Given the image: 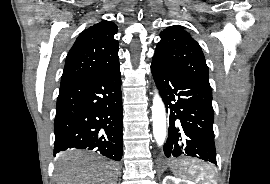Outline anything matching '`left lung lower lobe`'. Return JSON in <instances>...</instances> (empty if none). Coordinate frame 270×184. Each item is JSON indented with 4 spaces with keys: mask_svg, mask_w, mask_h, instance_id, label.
<instances>
[{
    "mask_svg": "<svg viewBox=\"0 0 270 184\" xmlns=\"http://www.w3.org/2000/svg\"><path fill=\"white\" fill-rule=\"evenodd\" d=\"M151 71L169 114L165 156H190L216 164L212 90L181 67L155 56Z\"/></svg>",
    "mask_w": 270,
    "mask_h": 184,
    "instance_id": "left-lung-lower-lobe-1",
    "label": "left lung lower lobe"
}]
</instances>
